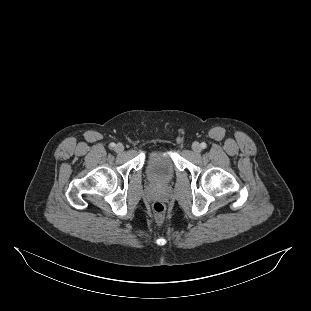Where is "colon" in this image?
Returning a JSON list of instances; mask_svg holds the SVG:
<instances>
[{
  "label": "colon",
  "instance_id": "1",
  "mask_svg": "<svg viewBox=\"0 0 311 311\" xmlns=\"http://www.w3.org/2000/svg\"><path fill=\"white\" fill-rule=\"evenodd\" d=\"M152 210L154 212V214L157 216V217H162L164 212H165V207L162 203L160 202H155L153 205H152Z\"/></svg>",
  "mask_w": 311,
  "mask_h": 311
}]
</instances>
